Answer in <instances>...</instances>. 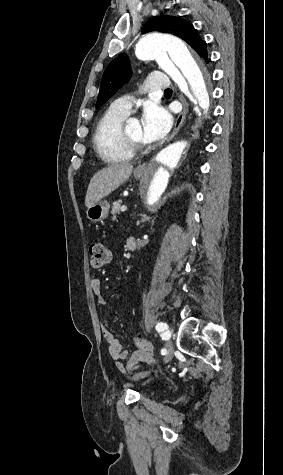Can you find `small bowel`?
I'll return each instance as SVG.
<instances>
[{"label": "small bowel", "mask_w": 283, "mask_h": 475, "mask_svg": "<svg viewBox=\"0 0 283 475\" xmlns=\"http://www.w3.org/2000/svg\"><path fill=\"white\" fill-rule=\"evenodd\" d=\"M91 289L93 293L98 297V304L105 305L107 300L102 296V283L101 280L97 277H93L90 282ZM101 332L104 339L109 344V354L111 358L116 361L121 367V362L126 360L127 361V354L129 351L125 349L121 343V341L114 335V333L109 329L106 322H102L101 325ZM153 349V347H152ZM135 353V352H133ZM141 362H126V365L123 367L124 371L127 373L132 374L134 368ZM157 374L162 375L163 372L160 369H156Z\"/></svg>", "instance_id": "c3829d8e"}]
</instances>
